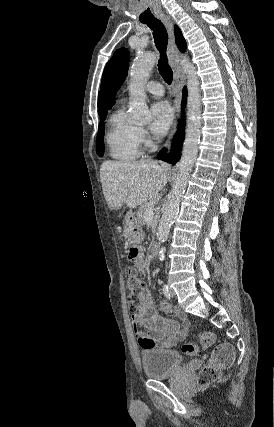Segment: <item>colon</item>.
Wrapping results in <instances>:
<instances>
[{"mask_svg": "<svg viewBox=\"0 0 274 427\" xmlns=\"http://www.w3.org/2000/svg\"><path fill=\"white\" fill-rule=\"evenodd\" d=\"M131 262L138 263L144 258L143 246H132L130 251ZM127 285L129 297L127 305L130 310L136 309L140 304V296L143 290V282L138 278L137 270L129 268L127 270ZM214 343V334L211 331H200L197 334V344L207 348ZM197 350L195 343H185L182 346V355L190 358ZM236 359L234 347L229 343H219L213 348L211 362L203 366L197 375L196 383L199 388H206L221 378V371L230 368Z\"/></svg>", "mask_w": 274, "mask_h": 427, "instance_id": "colon-1", "label": "colon"}]
</instances>
